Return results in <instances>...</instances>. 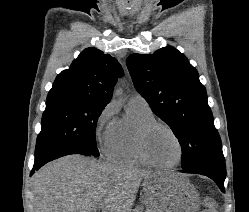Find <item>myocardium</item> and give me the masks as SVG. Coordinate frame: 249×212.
I'll use <instances>...</instances> for the list:
<instances>
[{
  "label": "myocardium",
  "mask_w": 249,
  "mask_h": 212,
  "mask_svg": "<svg viewBox=\"0 0 249 212\" xmlns=\"http://www.w3.org/2000/svg\"><path fill=\"white\" fill-rule=\"evenodd\" d=\"M156 129H162L168 132L176 140L179 146V158L177 162H175L174 164H170V165L159 164L156 161H154L152 157L150 156L149 151H148V139L151 133ZM136 140H137L138 151H139L141 158L148 165L152 167H155L158 169H174L178 167L184 159V155H185L184 145L180 137L178 136V134L167 124L161 123L156 120L145 123L138 129Z\"/></svg>",
  "instance_id": "obj_1"
}]
</instances>
